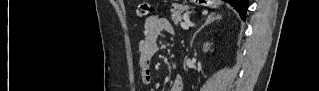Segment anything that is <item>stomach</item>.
<instances>
[{"instance_id": "0dacf381", "label": "stomach", "mask_w": 319, "mask_h": 91, "mask_svg": "<svg viewBox=\"0 0 319 91\" xmlns=\"http://www.w3.org/2000/svg\"><path fill=\"white\" fill-rule=\"evenodd\" d=\"M204 2V1H203ZM203 4H205V3H203ZM207 4H210V1H207Z\"/></svg>"}]
</instances>
